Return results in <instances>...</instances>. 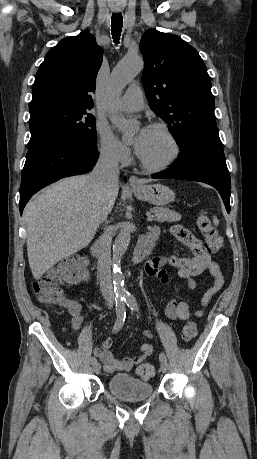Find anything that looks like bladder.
I'll return each mask as SVG.
<instances>
[{"label": "bladder", "instance_id": "1", "mask_svg": "<svg viewBox=\"0 0 257 459\" xmlns=\"http://www.w3.org/2000/svg\"><path fill=\"white\" fill-rule=\"evenodd\" d=\"M108 391L124 401H141L153 394V388L149 383L126 373L112 375L108 381Z\"/></svg>", "mask_w": 257, "mask_h": 459}]
</instances>
